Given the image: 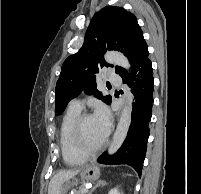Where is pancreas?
<instances>
[{
    "label": "pancreas",
    "instance_id": "cf45deb5",
    "mask_svg": "<svg viewBox=\"0 0 201 194\" xmlns=\"http://www.w3.org/2000/svg\"><path fill=\"white\" fill-rule=\"evenodd\" d=\"M85 188L81 187L78 191L75 192V194H87V192L84 191Z\"/></svg>",
    "mask_w": 201,
    "mask_h": 194
}]
</instances>
